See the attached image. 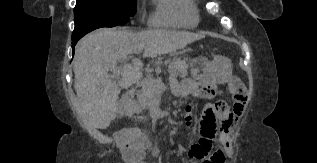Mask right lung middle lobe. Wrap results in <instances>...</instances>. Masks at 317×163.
Listing matches in <instances>:
<instances>
[{"label":"right lung middle lobe","mask_w":317,"mask_h":163,"mask_svg":"<svg viewBox=\"0 0 317 163\" xmlns=\"http://www.w3.org/2000/svg\"><path fill=\"white\" fill-rule=\"evenodd\" d=\"M135 12L136 0H77L72 39L100 27L125 24Z\"/></svg>","instance_id":"right-lung-middle-lobe-1"}]
</instances>
